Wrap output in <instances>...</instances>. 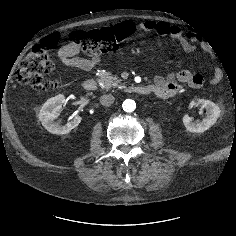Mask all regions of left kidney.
<instances>
[{"instance_id":"obj_1","label":"left kidney","mask_w":236,"mask_h":236,"mask_svg":"<svg viewBox=\"0 0 236 236\" xmlns=\"http://www.w3.org/2000/svg\"><path fill=\"white\" fill-rule=\"evenodd\" d=\"M194 106H201L202 108H205L207 111V116L201 122L195 123L192 122V118L186 114L183 117V123L187 131L193 133H203L216 123L221 114V110L214 102L205 99L191 101L190 108Z\"/></svg>"}]
</instances>
